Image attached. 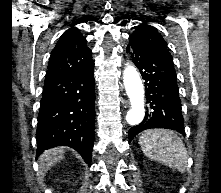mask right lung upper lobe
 <instances>
[{
  "label": "right lung upper lobe",
  "instance_id": "cb5924a9",
  "mask_svg": "<svg viewBox=\"0 0 221 193\" xmlns=\"http://www.w3.org/2000/svg\"><path fill=\"white\" fill-rule=\"evenodd\" d=\"M86 39L76 27L66 30L51 52L45 80L70 75L87 67L93 60Z\"/></svg>",
  "mask_w": 221,
  "mask_h": 193
}]
</instances>
